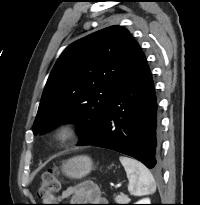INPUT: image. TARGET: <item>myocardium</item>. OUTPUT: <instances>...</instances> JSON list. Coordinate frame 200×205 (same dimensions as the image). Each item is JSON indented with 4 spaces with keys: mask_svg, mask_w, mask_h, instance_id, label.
<instances>
[{
    "mask_svg": "<svg viewBox=\"0 0 200 205\" xmlns=\"http://www.w3.org/2000/svg\"><path fill=\"white\" fill-rule=\"evenodd\" d=\"M78 133V124L73 120L60 121L53 129L54 139L61 144L73 141L78 136Z\"/></svg>",
    "mask_w": 200,
    "mask_h": 205,
    "instance_id": "myocardium-1",
    "label": "myocardium"
}]
</instances>
